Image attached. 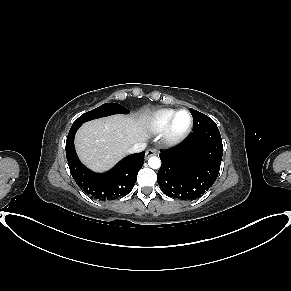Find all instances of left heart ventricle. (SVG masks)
Wrapping results in <instances>:
<instances>
[{"mask_svg":"<svg viewBox=\"0 0 291 291\" xmlns=\"http://www.w3.org/2000/svg\"><path fill=\"white\" fill-rule=\"evenodd\" d=\"M189 122V116L186 113H180L175 118V128L181 130L187 126Z\"/></svg>","mask_w":291,"mask_h":291,"instance_id":"b2bd125f","label":"left heart ventricle"}]
</instances>
